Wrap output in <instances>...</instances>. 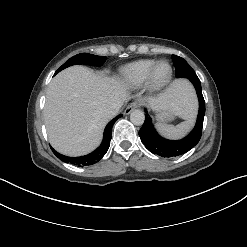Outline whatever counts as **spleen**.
<instances>
[{"instance_id": "3e777b00", "label": "spleen", "mask_w": 247, "mask_h": 247, "mask_svg": "<svg viewBox=\"0 0 247 247\" xmlns=\"http://www.w3.org/2000/svg\"><path fill=\"white\" fill-rule=\"evenodd\" d=\"M191 126L192 123L190 121L182 122L176 126L165 123H159L157 124V129L163 136L167 138L179 139L184 137L188 133Z\"/></svg>"}]
</instances>
